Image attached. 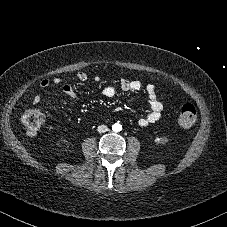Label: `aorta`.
Returning <instances> with one entry per match:
<instances>
[{"mask_svg": "<svg viewBox=\"0 0 227 227\" xmlns=\"http://www.w3.org/2000/svg\"><path fill=\"white\" fill-rule=\"evenodd\" d=\"M113 129L114 131H120L122 129V126L120 124H114Z\"/></svg>", "mask_w": 227, "mask_h": 227, "instance_id": "762f6f07", "label": "aorta"}]
</instances>
